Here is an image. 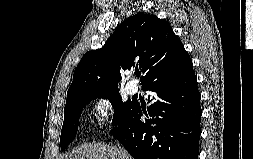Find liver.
Masks as SVG:
<instances>
[{
  "label": "liver",
  "mask_w": 253,
  "mask_h": 159,
  "mask_svg": "<svg viewBox=\"0 0 253 159\" xmlns=\"http://www.w3.org/2000/svg\"><path fill=\"white\" fill-rule=\"evenodd\" d=\"M68 159H133L119 146L98 143L83 144L70 153Z\"/></svg>",
  "instance_id": "liver-1"
}]
</instances>
